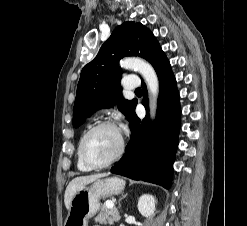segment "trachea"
Masks as SVG:
<instances>
[{
    "mask_svg": "<svg viewBox=\"0 0 247 226\" xmlns=\"http://www.w3.org/2000/svg\"><path fill=\"white\" fill-rule=\"evenodd\" d=\"M135 92H141V88H137Z\"/></svg>",
    "mask_w": 247,
    "mask_h": 226,
    "instance_id": "3493384b",
    "label": "trachea"
}]
</instances>
